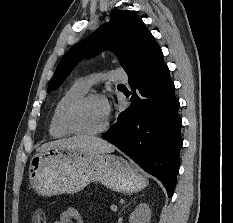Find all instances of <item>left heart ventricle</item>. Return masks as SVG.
Segmentation results:
<instances>
[{"mask_svg": "<svg viewBox=\"0 0 233 223\" xmlns=\"http://www.w3.org/2000/svg\"><path fill=\"white\" fill-rule=\"evenodd\" d=\"M101 105V99H93L78 111L76 123L81 130L94 132L106 123L107 119L103 116Z\"/></svg>", "mask_w": 233, "mask_h": 223, "instance_id": "obj_1", "label": "left heart ventricle"}]
</instances>
